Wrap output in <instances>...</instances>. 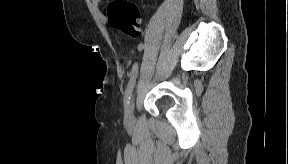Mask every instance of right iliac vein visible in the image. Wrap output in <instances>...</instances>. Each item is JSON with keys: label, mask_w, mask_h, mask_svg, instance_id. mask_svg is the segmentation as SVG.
<instances>
[{"label": "right iliac vein", "mask_w": 288, "mask_h": 164, "mask_svg": "<svg viewBox=\"0 0 288 164\" xmlns=\"http://www.w3.org/2000/svg\"><path fill=\"white\" fill-rule=\"evenodd\" d=\"M133 110H134V103L133 99L129 102V104L125 108V115L124 118L126 121H131L133 118Z\"/></svg>", "instance_id": "obj_1"}]
</instances>
